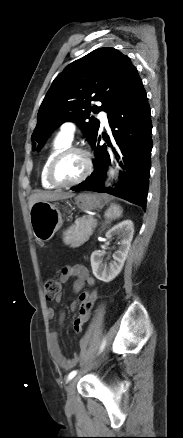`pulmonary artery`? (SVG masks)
<instances>
[{
  "instance_id": "pulmonary-artery-1",
  "label": "pulmonary artery",
  "mask_w": 183,
  "mask_h": 438,
  "mask_svg": "<svg viewBox=\"0 0 183 438\" xmlns=\"http://www.w3.org/2000/svg\"><path fill=\"white\" fill-rule=\"evenodd\" d=\"M99 117L104 124L107 123V115L104 111H101L99 113ZM74 132H75V125L72 122H66L61 126V133L66 137H68L69 139L73 138Z\"/></svg>"
}]
</instances>
